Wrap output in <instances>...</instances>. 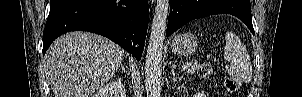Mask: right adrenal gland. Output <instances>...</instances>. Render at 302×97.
Masks as SVG:
<instances>
[{
	"instance_id": "right-adrenal-gland-1",
	"label": "right adrenal gland",
	"mask_w": 302,
	"mask_h": 97,
	"mask_svg": "<svg viewBox=\"0 0 302 97\" xmlns=\"http://www.w3.org/2000/svg\"><path fill=\"white\" fill-rule=\"evenodd\" d=\"M121 69H122V71L126 74V69H125V67H124L123 64H121L120 69H119L118 71H120Z\"/></svg>"
}]
</instances>
